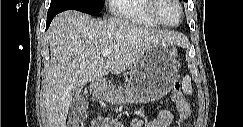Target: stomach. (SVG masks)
Returning <instances> with one entry per match:
<instances>
[{"label":"stomach","mask_w":243,"mask_h":127,"mask_svg":"<svg viewBox=\"0 0 243 127\" xmlns=\"http://www.w3.org/2000/svg\"><path fill=\"white\" fill-rule=\"evenodd\" d=\"M177 50L161 43L147 51L130 69V79L118 89L99 85L96 92L112 103H147L166 95L178 79Z\"/></svg>","instance_id":"0dacf381"}]
</instances>
